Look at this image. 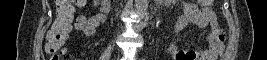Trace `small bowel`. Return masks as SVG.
<instances>
[{
	"instance_id": "small-bowel-1",
	"label": "small bowel",
	"mask_w": 267,
	"mask_h": 60,
	"mask_svg": "<svg viewBox=\"0 0 267 60\" xmlns=\"http://www.w3.org/2000/svg\"><path fill=\"white\" fill-rule=\"evenodd\" d=\"M77 4L81 5L80 3ZM102 9H107L104 3L102 4ZM104 20L105 16L102 13H96L89 17L81 15L77 18L76 27L84 35L92 36L96 32L97 26L103 23ZM188 24H195L199 27H210V31L206 35L209 47L199 51H179L176 45L171 43L168 48L171 59L216 60L223 52L226 35L212 9L208 6L200 8L191 2L186 3L184 6V13L173 26V33H179Z\"/></svg>"
}]
</instances>
